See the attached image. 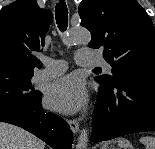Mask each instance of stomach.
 <instances>
[{
	"instance_id": "0dacf381",
	"label": "stomach",
	"mask_w": 155,
	"mask_h": 149,
	"mask_svg": "<svg viewBox=\"0 0 155 149\" xmlns=\"http://www.w3.org/2000/svg\"><path fill=\"white\" fill-rule=\"evenodd\" d=\"M101 149H133V146L127 139L117 138L105 143Z\"/></svg>"
}]
</instances>
